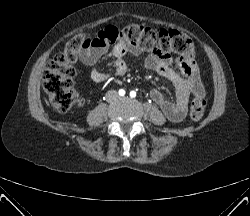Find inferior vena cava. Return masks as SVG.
Instances as JSON below:
<instances>
[{"label":"inferior vena cava","mask_w":250,"mask_h":216,"mask_svg":"<svg viewBox=\"0 0 250 216\" xmlns=\"http://www.w3.org/2000/svg\"><path fill=\"white\" fill-rule=\"evenodd\" d=\"M111 95H117V92L114 90H111L107 93V96L110 97Z\"/></svg>","instance_id":"inferior-vena-cava-1"}]
</instances>
